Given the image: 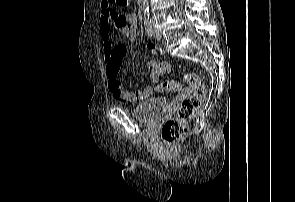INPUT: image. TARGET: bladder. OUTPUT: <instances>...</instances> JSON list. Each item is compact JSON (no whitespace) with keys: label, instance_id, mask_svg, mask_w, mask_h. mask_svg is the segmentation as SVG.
<instances>
[{"label":"bladder","instance_id":"1","mask_svg":"<svg viewBox=\"0 0 295 202\" xmlns=\"http://www.w3.org/2000/svg\"><path fill=\"white\" fill-rule=\"evenodd\" d=\"M167 101L162 97H151L138 103L132 110V116L144 123L154 124L167 112Z\"/></svg>","mask_w":295,"mask_h":202}]
</instances>
